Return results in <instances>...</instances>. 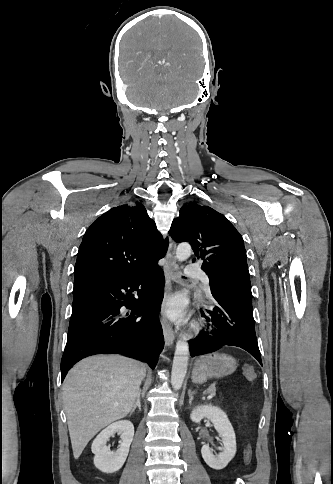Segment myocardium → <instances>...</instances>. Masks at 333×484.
I'll use <instances>...</instances> for the list:
<instances>
[{
    "mask_svg": "<svg viewBox=\"0 0 333 484\" xmlns=\"http://www.w3.org/2000/svg\"><path fill=\"white\" fill-rule=\"evenodd\" d=\"M201 328H202L201 324L196 323V324L193 325L192 330H193V332L198 333L201 330Z\"/></svg>",
    "mask_w": 333,
    "mask_h": 484,
    "instance_id": "f54148a6",
    "label": "myocardium"
}]
</instances>
